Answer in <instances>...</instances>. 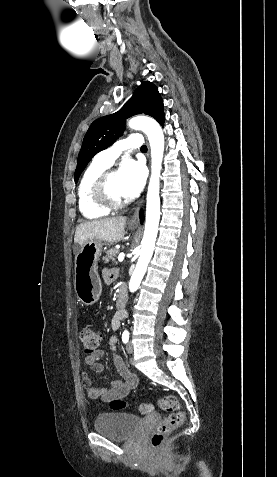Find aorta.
I'll return each mask as SVG.
<instances>
[{
    "label": "aorta",
    "instance_id": "1",
    "mask_svg": "<svg viewBox=\"0 0 277 477\" xmlns=\"http://www.w3.org/2000/svg\"><path fill=\"white\" fill-rule=\"evenodd\" d=\"M129 127L142 130L148 137L151 149V177L146 198V221L140 257L129 283V290L135 292L151 260L160 220V173L164 154V134L160 125L149 117L132 118Z\"/></svg>",
    "mask_w": 277,
    "mask_h": 477
}]
</instances>
